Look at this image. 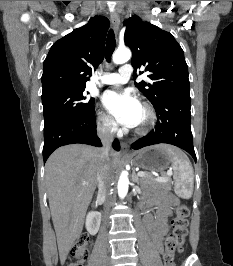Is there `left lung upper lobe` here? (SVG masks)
Returning a JSON list of instances; mask_svg holds the SVG:
<instances>
[{"instance_id": "left-lung-upper-lobe-1", "label": "left lung upper lobe", "mask_w": 233, "mask_h": 266, "mask_svg": "<svg viewBox=\"0 0 233 266\" xmlns=\"http://www.w3.org/2000/svg\"><path fill=\"white\" fill-rule=\"evenodd\" d=\"M124 25V41L133 53L134 79L136 69L141 66L145 67L144 71L151 79L150 83L141 81L135 84L153 106L168 96L189 92L188 67L175 38L169 32L141 21L136 15L125 20Z\"/></svg>"}]
</instances>
